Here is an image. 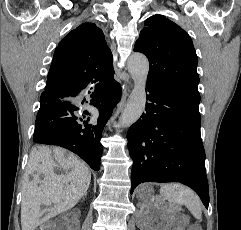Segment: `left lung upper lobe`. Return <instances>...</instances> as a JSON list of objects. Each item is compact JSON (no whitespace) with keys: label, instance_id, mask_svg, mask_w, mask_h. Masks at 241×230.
Listing matches in <instances>:
<instances>
[{"label":"left lung upper lobe","instance_id":"obj_1","mask_svg":"<svg viewBox=\"0 0 241 230\" xmlns=\"http://www.w3.org/2000/svg\"><path fill=\"white\" fill-rule=\"evenodd\" d=\"M134 51L149 60L148 82L164 84L200 98L197 55L187 32L163 15L145 20Z\"/></svg>","mask_w":241,"mask_h":230}]
</instances>
